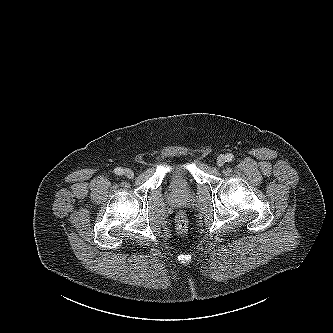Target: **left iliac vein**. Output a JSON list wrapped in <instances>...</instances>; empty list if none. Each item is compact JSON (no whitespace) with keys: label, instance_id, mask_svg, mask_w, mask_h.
I'll return each mask as SVG.
<instances>
[{"label":"left iliac vein","instance_id":"1","mask_svg":"<svg viewBox=\"0 0 333 333\" xmlns=\"http://www.w3.org/2000/svg\"><path fill=\"white\" fill-rule=\"evenodd\" d=\"M225 162H226V157L224 155H220L217 158V166L222 167L224 166Z\"/></svg>","mask_w":333,"mask_h":333}]
</instances>
